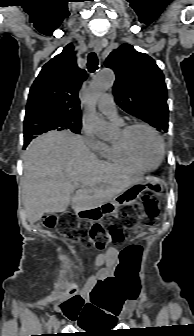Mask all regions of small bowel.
<instances>
[{
    "label": "small bowel",
    "instance_id": "small-bowel-1",
    "mask_svg": "<svg viewBox=\"0 0 194 336\" xmlns=\"http://www.w3.org/2000/svg\"><path fill=\"white\" fill-rule=\"evenodd\" d=\"M119 259L120 251L113 247L96 257V272L81 290L87 303L79 317L80 327L116 321L120 316V298L124 291L115 275Z\"/></svg>",
    "mask_w": 194,
    "mask_h": 336
}]
</instances>
